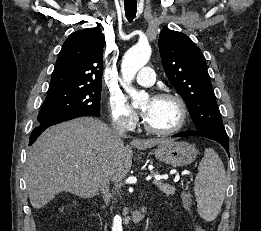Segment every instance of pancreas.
<instances>
[{"label": "pancreas", "mask_w": 261, "mask_h": 231, "mask_svg": "<svg viewBox=\"0 0 261 231\" xmlns=\"http://www.w3.org/2000/svg\"><path fill=\"white\" fill-rule=\"evenodd\" d=\"M155 174H159V173L155 172ZM156 185L167 196L174 195L176 192V188L174 186H171L169 184H163L161 181H158Z\"/></svg>", "instance_id": "pancreas-1"}]
</instances>
